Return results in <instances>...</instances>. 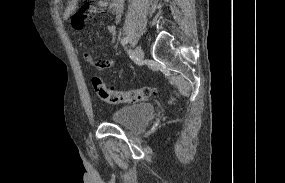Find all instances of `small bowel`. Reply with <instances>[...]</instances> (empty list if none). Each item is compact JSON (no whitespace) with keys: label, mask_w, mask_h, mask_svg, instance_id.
I'll list each match as a JSON object with an SVG mask.
<instances>
[{"label":"small bowel","mask_w":285,"mask_h":183,"mask_svg":"<svg viewBox=\"0 0 285 183\" xmlns=\"http://www.w3.org/2000/svg\"><path fill=\"white\" fill-rule=\"evenodd\" d=\"M79 6V0H69L66 2L63 11V19L68 21L74 30L80 31L88 19L94 18L104 13H110L115 17L113 24L107 27L111 36V44L115 43L117 35V24L124 8V0H96L93 3H85L79 12H75ZM84 59L88 67L105 72L116 65L115 59H95L92 55L85 53Z\"/></svg>","instance_id":"obj_1"}]
</instances>
